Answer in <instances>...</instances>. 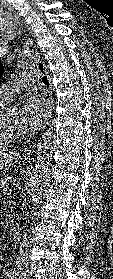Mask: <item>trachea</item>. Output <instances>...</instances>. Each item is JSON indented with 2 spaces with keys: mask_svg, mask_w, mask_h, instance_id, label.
Returning a JSON list of instances; mask_svg holds the SVG:
<instances>
[{
  "mask_svg": "<svg viewBox=\"0 0 113 279\" xmlns=\"http://www.w3.org/2000/svg\"><path fill=\"white\" fill-rule=\"evenodd\" d=\"M42 82H43L45 85H47V86L49 85L47 76H43Z\"/></svg>",
  "mask_w": 113,
  "mask_h": 279,
  "instance_id": "obj_1",
  "label": "trachea"
}]
</instances>
